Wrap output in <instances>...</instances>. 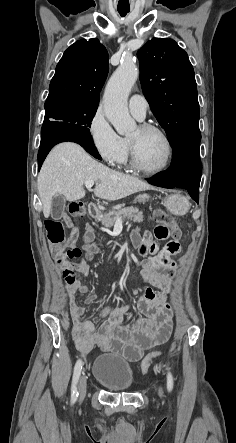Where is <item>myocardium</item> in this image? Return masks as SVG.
Segmentation results:
<instances>
[{
    "instance_id": "myocardium-1",
    "label": "myocardium",
    "mask_w": 236,
    "mask_h": 443,
    "mask_svg": "<svg viewBox=\"0 0 236 443\" xmlns=\"http://www.w3.org/2000/svg\"><path fill=\"white\" fill-rule=\"evenodd\" d=\"M138 128L141 132H156V133L160 134L166 142L167 149H168V155H167V159H166L165 163L161 167H159L157 169L146 168L145 166L142 165V163L139 159L138 150H137L135 142L129 138L128 142H129V151H130L132 166L137 171H139L143 174H147V175H156V174H160V173L164 172L171 165L172 160H173V156H174V146H173L170 136L167 134V132L164 129H162L161 127H159L157 125L151 124V123H141L138 126Z\"/></svg>"
}]
</instances>
